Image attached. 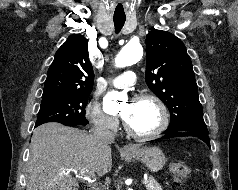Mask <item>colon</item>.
Returning a JSON list of instances; mask_svg holds the SVG:
<instances>
[{"label":"colon","mask_w":238,"mask_h":190,"mask_svg":"<svg viewBox=\"0 0 238 190\" xmlns=\"http://www.w3.org/2000/svg\"><path fill=\"white\" fill-rule=\"evenodd\" d=\"M170 173L176 183H182L189 177L191 168L184 162L175 161L170 165Z\"/></svg>","instance_id":"1"}]
</instances>
